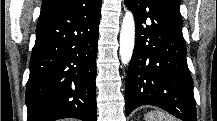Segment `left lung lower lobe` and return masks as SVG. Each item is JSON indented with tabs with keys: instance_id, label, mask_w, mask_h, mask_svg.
Instances as JSON below:
<instances>
[{
	"instance_id": "obj_1",
	"label": "left lung lower lobe",
	"mask_w": 217,
	"mask_h": 121,
	"mask_svg": "<svg viewBox=\"0 0 217 121\" xmlns=\"http://www.w3.org/2000/svg\"><path fill=\"white\" fill-rule=\"evenodd\" d=\"M135 19V48L126 80V115L141 105L196 121L180 4L175 0H125ZM146 21L151 22L146 25Z\"/></svg>"
}]
</instances>
